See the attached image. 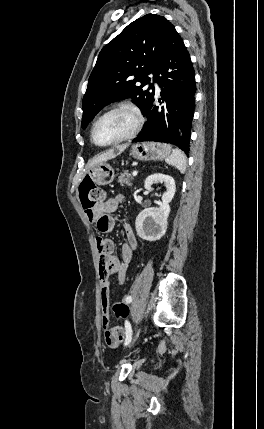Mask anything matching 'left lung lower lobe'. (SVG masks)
I'll use <instances>...</instances> for the list:
<instances>
[{
	"mask_svg": "<svg viewBox=\"0 0 264 429\" xmlns=\"http://www.w3.org/2000/svg\"><path fill=\"white\" fill-rule=\"evenodd\" d=\"M153 74L162 90L159 102L164 105L153 104V86L152 96L142 111L147 122L133 142L171 143L188 154L195 106V74L190 55L175 28L169 33Z\"/></svg>",
	"mask_w": 264,
	"mask_h": 429,
	"instance_id": "1",
	"label": "left lung lower lobe"
}]
</instances>
